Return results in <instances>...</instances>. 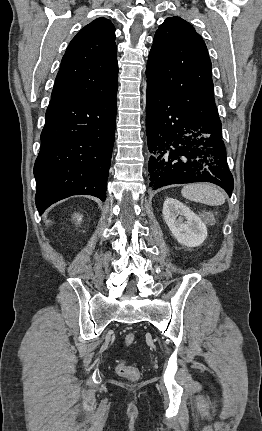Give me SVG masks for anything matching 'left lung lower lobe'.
I'll list each match as a JSON object with an SVG mask.
<instances>
[{
	"label": "left lung lower lobe",
	"instance_id": "left-lung-lower-lobe-1",
	"mask_svg": "<svg viewBox=\"0 0 262 431\" xmlns=\"http://www.w3.org/2000/svg\"><path fill=\"white\" fill-rule=\"evenodd\" d=\"M146 132L150 187L210 182L234 188L221 125L201 122L188 108L147 83Z\"/></svg>",
	"mask_w": 262,
	"mask_h": 431
}]
</instances>
